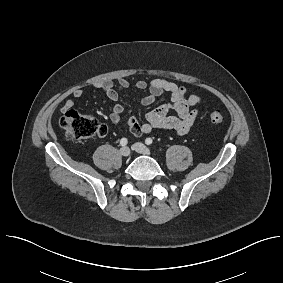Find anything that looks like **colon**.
<instances>
[{
    "mask_svg": "<svg viewBox=\"0 0 283 283\" xmlns=\"http://www.w3.org/2000/svg\"><path fill=\"white\" fill-rule=\"evenodd\" d=\"M209 118L213 124H220L224 121L223 115L219 112L211 113ZM60 124L68 138L73 141L104 136L107 129L105 125L99 123L94 117L82 114L76 110L66 112L62 116Z\"/></svg>",
    "mask_w": 283,
    "mask_h": 283,
    "instance_id": "1",
    "label": "colon"
}]
</instances>
